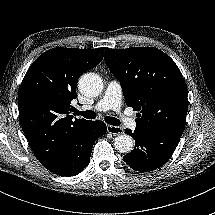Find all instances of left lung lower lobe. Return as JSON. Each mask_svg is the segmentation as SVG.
I'll use <instances>...</instances> for the list:
<instances>
[{
	"instance_id": "left-lung-lower-lobe-1",
	"label": "left lung lower lobe",
	"mask_w": 215,
	"mask_h": 215,
	"mask_svg": "<svg viewBox=\"0 0 215 215\" xmlns=\"http://www.w3.org/2000/svg\"><path fill=\"white\" fill-rule=\"evenodd\" d=\"M125 133L135 140L134 149L124 156V161L134 170L149 172L160 168L172 156L182 132L168 130H143Z\"/></svg>"
}]
</instances>
